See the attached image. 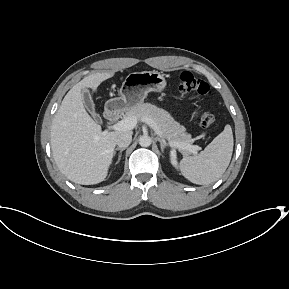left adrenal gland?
Listing matches in <instances>:
<instances>
[{
	"label": "left adrenal gland",
	"instance_id": "a2214340",
	"mask_svg": "<svg viewBox=\"0 0 289 289\" xmlns=\"http://www.w3.org/2000/svg\"><path fill=\"white\" fill-rule=\"evenodd\" d=\"M156 139H157V141H159V143H160V147H161V150H162V152H163L164 149H165V147L167 146L165 140L162 139V138H160V137H157Z\"/></svg>",
	"mask_w": 289,
	"mask_h": 289
}]
</instances>
